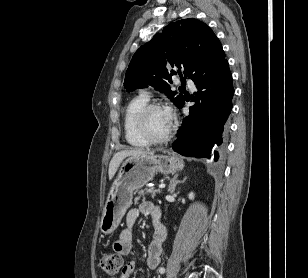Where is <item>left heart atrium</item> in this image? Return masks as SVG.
Instances as JSON below:
<instances>
[{
    "label": "left heart atrium",
    "instance_id": "left-heart-atrium-1",
    "mask_svg": "<svg viewBox=\"0 0 308 278\" xmlns=\"http://www.w3.org/2000/svg\"><path fill=\"white\" fill-rule=\"evenodd\" d=\"M164 110L165 116L169 124L171 125L174 120V113L170 107H166Z\"/></svg>",
    "mask_w": 308,
    "mask_h": 278
}]
</instances>
